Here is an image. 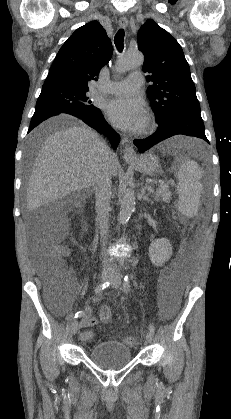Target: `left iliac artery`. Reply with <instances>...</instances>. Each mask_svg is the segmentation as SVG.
I'll list each match as a JSON object with an SVG mask.
<instances>
[{
  "instance_id": "obj_1",
  "label": "left iliac artery",
  "mask_w": 231,
  "mask_h": 419,
  "mask_svg": "<svg viewBox=\"0 0 231 419\" xmlns=\"http://www.w3.org/2000/svg\"><path fill=\"white\" fill-rule=\"evenodd\" d=\"M130 290V280L128 276L124 277L123 282V292L127 294ZM149 330L154 334L155 333V326L153 324H149Z\"/></svg>"
}]
</instances>
